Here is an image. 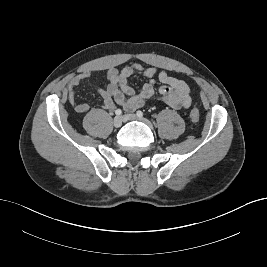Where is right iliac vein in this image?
Wrapping results in <instances>:
<instances>
[{"label":"right iliac vein","instance_id":"63e3f726","mask_svg":"<svg viewBox=\"0 0 267 267\" xmlns=\"http://www.w3.org/2000/svg\"><path fill=\"white\" fill-rule=\"evenodd\" d=\"M122 122H123V118L121 116H116L113 120V125L114 127L119 128L121 127Z\"/></svg>","mask_w":267,"mask_h":267}]
</instances>
